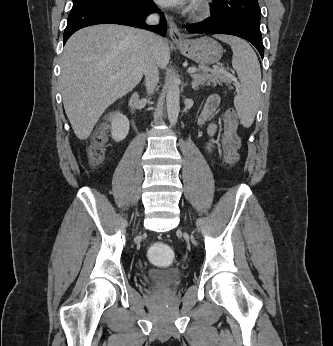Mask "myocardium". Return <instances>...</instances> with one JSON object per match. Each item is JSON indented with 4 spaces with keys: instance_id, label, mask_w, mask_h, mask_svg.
<instances>
[{
    "instance_id": "obj_1",
    "label": "myocardium",
    "mask_w": 333,
    "mask_h": 346,
    "mask_svg": "<svg viewBox=\"0 0 333 346\" xmlns=\"http://www.w3.org/2000/svg\"><path fill=\"white\" fill-rule=\"evenodd\" d=\"M193 9L196 15L205 16L209 12V4L205 0H197Z\"/></svg>"
}]
</instances>
